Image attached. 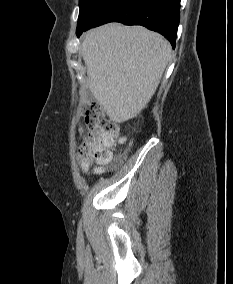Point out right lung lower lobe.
Masks as SVG:
<instances>
[{
  "mask_svg": "<svg viewBox=\"0 0 233 284\" xmlns=\"http://www.w3.org/2000/svg\"><path fill=\"white\" fill-rule=\"evenodd\" d=\"M180 20V0H110L77 36L90 28L108 23L142 25L165 36L173 47Z\"/></svg>",
  "mask_w": 233,
  "mask_h": 284,
  "instance_id": "1",
  "label": "right lung lower lobe"
}]
</instances>
